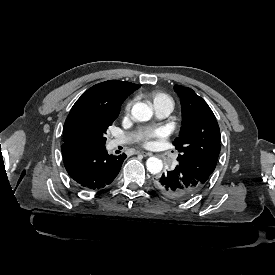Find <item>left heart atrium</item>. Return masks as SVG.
<instances>
[{
    "instance_id": "39dd6f15",
    "label": "left heart atrium",
    "mask_w": 275,
    "mask_h": 275,
    "mask_svg": "<svg viewBox=\"0 0 275 275\" xmlns=\"http://www.w3.org/2000/svg\"><path fill=\"white\" fill-rule=\"evenodd\" d=\"M169 132L164 127H144L135 133V139L144 147H152L157 141L168 137Z\"/></svg>"
}]
</instances>
